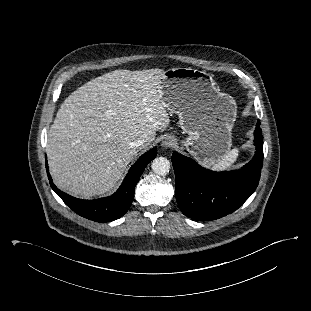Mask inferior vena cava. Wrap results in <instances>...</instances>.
Here are the masks:
<instances>
[{
	"label": "inferior vena cava",
	"mask_w": 311,
	"mask_h": 311,
	"mask_svg": "<svg viewBox=\"0 0 311 311\" xmlns=\"http://www.w3.org/2000/svg\"><path fill=\"white\" fill-rule=\"evenodd\" d=\"M145 143H146V139L145 138H141V139H137V140L132 141L130 143V145L133 148H138V147L143 146Z\"/></svg>",
	"instance_id": "1"
}]
</instances>
